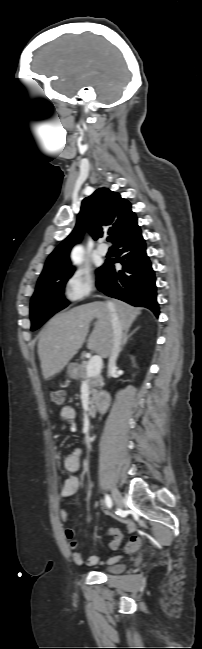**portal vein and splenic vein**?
Masks as SVG:
<instances>
[{
    "mask_svg": "<svg viewBox=\"0 0 202 649\" xmlns=\"http://www.w3.org/2000/svg\"><path fill=\"white\" fill-rule=\"evenodd\" d=\"M103 365L102 357L99 355L93 356L86 367L87 377H93L101 372Z\"/></svg>",
    "mask_w": 202,
    "mask_h": 649,
    "instance_id": "portal-vein-and-splenic-vein-1",
    "label": "portal vein and splenic vein"
}]
</instances>
